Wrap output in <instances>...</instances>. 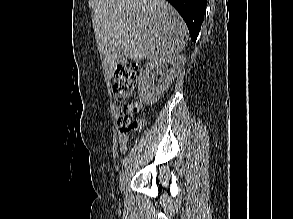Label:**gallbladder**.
I'll use <instances>...</instances> for the list:
<instances>
[{
  "label": "gallbladder",
  "mask_w": 293,
  "mask_h": 219,
  "mask_svg": "<svg viewBox=\"0 0 293 219\" xmlns=\"http://www.w3.org/2000/svg\"><path fill=\"white\" fill-rule=\"evenodd\" d=\"M117 62L119 65H123L127 62V57L123 49L117 52Z\"/></svg>",
  "instance_id": "obj_1"
}]
</instances>
